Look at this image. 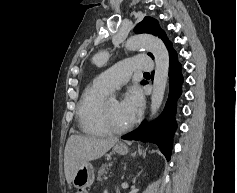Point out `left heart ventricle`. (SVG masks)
Returning a JSON list of instances; mask_svg holds the SVG:
<instances>
[{"label":"left heart ventricle","mask_w":237,"mask_h":193,"mask_svg":"<svg viewBox=\"0 0 237 193\" xmlns=\"http://www.w3.org/2000/svg\"><path fill=\"white\" fill-rule=\"evenodd\" d=\"M108 117L110 123L115 127H124L130 124L121 103L115 99H111L108 103Z\"/></svg>","instance_id":"obj_1"}]
</instances>
